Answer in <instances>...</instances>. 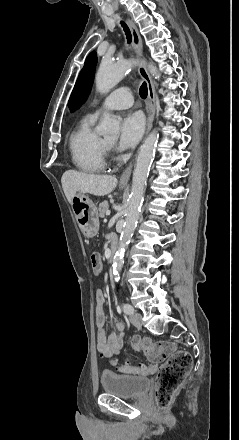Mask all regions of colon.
<instances>
[{
	"instance_id": "1",
	"label": "colon",
	"mask_w": 239,
	"mask_h": 440,
	"mask_svg": "<svg viewBox=\"0 0 239 440\" xmlns=\"http://www.w3.org/2000/svg\"><path fill=\"white\" fill-rule=\"evenodd\" d=\"M93 271L99 274L102 270L100 259L97 255L91 256ZM135 350H142L152 365L140 368L131 365L120 366L121 372L130 374H157L156 399L160 406H167L185 377L189 374L193 360L186 352L177 350L175 345L168 341L153 342L147 338L135 336L131 340ZM164 362L160 367L157 364ZM112 364L116 365L115 361Z\"/></svg>"
}]
</instances>
